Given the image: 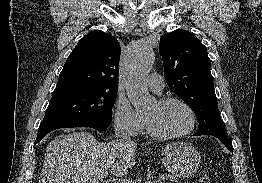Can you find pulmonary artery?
I'll return each mask as SVG.
<instances>
[{"label":"pulmonary artery","mask_w":262,"mask_h":183,"mask_svg":"<svg viewBox=\"0 0 262 183\" xmlns=\"http://www.w3.org/2000/svg\"><path fill=\"white\" fill-rule=\"evenodd\" d=\"M147 84L149 88L157 93L160 94L163 91L164 88V80L163 78L157 74V73H152L148 76L147 78Z\"/></svg>","instance_id":"pulmonary-artery-1"}]
</instances>
